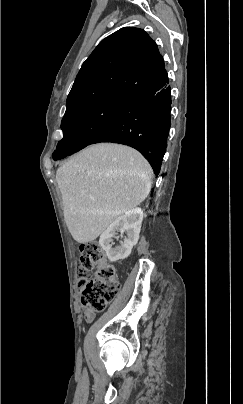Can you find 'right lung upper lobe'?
<instances>
[{"label": "right lung upper lobe", "instance_id": "1", "mask_svg": "<svg viewBox=\"0 0 243 404\" xmlns=\"http://www.w3.org/2000/svg\"><path fill=\"white\" fill-rule=\"evenodd\" d=\"M168 80L156 43L142 29L125 27L111 34L83 63L67 97L66 112L102 99L136 97Z\"/></svg>", "mask_w": 243, "mask_h": 404}]
</instances>
